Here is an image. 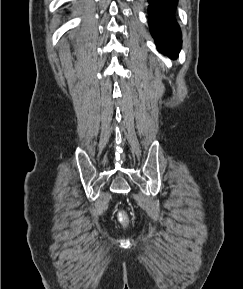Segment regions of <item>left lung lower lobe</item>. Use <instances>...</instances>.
I'll use <instances>...</instances> for the list:
<instances>
[{
  "instance_id": "obj_1",
  "label": "left lung lower lobe",
  "mask_w": 243,
  "mask_h": 289,
  "mask_svg": "<svg viewBox=\"0 0 243 289\" xmlns=\"http://www.w3.org/2000/svg\"><path fill=\"white\" fill-rule=\"evenodd\" d=\"M149 26L157 48L171 58L181 49V31L174 18L177 0H148Z\"/></svg>"
}]
</instances>
